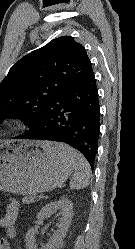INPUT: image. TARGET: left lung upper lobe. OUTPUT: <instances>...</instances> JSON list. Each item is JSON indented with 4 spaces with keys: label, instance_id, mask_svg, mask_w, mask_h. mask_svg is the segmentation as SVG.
Instances as JSON below:
<instances>
[{
    "label": "left lung upper lobe",
    "instance_id": "obj_1",
    "mask_svg": "<svg viewBox=\"0 0 135 249\" xmlns=\"http://www.w3.org/2000/svg\"><path fill=\"white\" fill-rule=\"evenodd\" d=\"M91 69L85 48L71 36L53 39L25 55L0 83V122L20 117L30 127L28 132L35 130L58 96Z\"/></svg>",
    "mask_w": 135,
    "mask_h": 249
}]
</instances>
